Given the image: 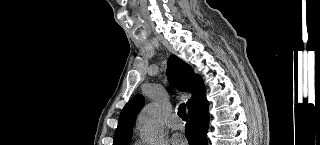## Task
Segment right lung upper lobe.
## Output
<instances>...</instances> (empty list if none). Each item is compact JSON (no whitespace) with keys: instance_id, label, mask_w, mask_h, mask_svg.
<instances>
[{"instance_id":"cb5924a9","label":"right lung upper lobe","mask_w":320,"mask_h":145,"mask_svg":"<svg viewBox=\"0 0 320 145\" xmlns=\"http://www.w3.org/2000/svg\"><path fill=\"white\" fill-rule=\"evenodd\" d=\"M167 74L171 84L176 85L182 91L192 93L193 98L187 102L188 109L205 94V87L201 77L194 73L193 68L189 64L176 55H171L168 59ZM143 103L144 97L138 94L123 108L119 117L113 145H126L131 139L133 124Z\"/></svg>"}]
</instances>
